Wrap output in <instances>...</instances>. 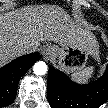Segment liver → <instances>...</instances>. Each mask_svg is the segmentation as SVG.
I'll return each mask as SVG.
<instances>
[{
    "label": "liver",
    "instance_id": "1",
    "mask_svg": "<svg viewBox=\"0 0 108 108\" xmlns=\"http://www.w3.org/2000/svg\"><path fill=\"white\" fill-rule=\"evenodd\" d=\"M90 34V27L79 19L70 20L57 6L30 5L0 17V61L5 63L23 53L28 45L34 51L40 42L53 41L61 46L82 43Z\"/></svg>",
    "mask_w": 108,
    "mask_h": 108
}]
</instances>
